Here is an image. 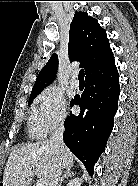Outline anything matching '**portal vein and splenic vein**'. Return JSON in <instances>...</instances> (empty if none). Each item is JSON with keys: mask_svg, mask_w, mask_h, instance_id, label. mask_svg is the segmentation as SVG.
Returning a JSON list of instances; mask_svg holds the SVG:
<instances>
[{"mask_svg": "<svg viewBox=\"0 0 138 186\" xmlns=\"http://www.w3.org/2000/svg\"><path fill=\"white\" fill-rule=\"evenodd\" d=\"M27 175L28 176H33L34 173L30 171ZM36 186H44V183L42 181H37Z\"/></svg>", "mask_w": 138, "mask_h": 186, "instance_id": "18ae733b", "label": "portal vein and splenic vein"}]
</instances>
